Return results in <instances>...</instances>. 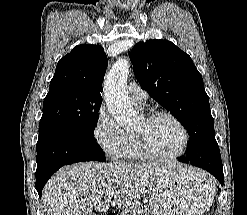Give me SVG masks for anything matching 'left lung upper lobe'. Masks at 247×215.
Listing matches in <instances>:
<instances>
[{"label":"left lung upper lobe","mask_w":247,"mask_h":215,"mask_svg":"<svg viewBox=\"0 0 247 215\" xmlns=\"http://www.w3.org/2000/svg\"><path fill=\"white\" fill-rule=\"evenodd\" d=\"M130 60L142 88L186 128L190 136L186 155L196 144L215 140L209 97L188 54L170 41L148 40L134 46Z\"/></svg>","instance_id":"obj_1"}]
</instances>
